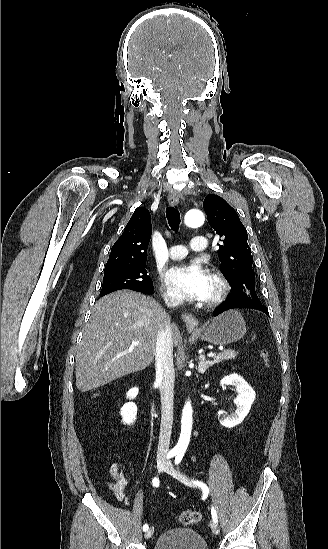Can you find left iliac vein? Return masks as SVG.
Listing matches in <instances>:
<instances>
[{"label": "left iliac vein", "mask_w": 328, "mask_h": 549, "mask_svg": "<svg viewBox=\"0 0 328 549\" xmlns=\"http://www.w3.org/2000/svg\"><path fill=\"white\" fill-rule=\"evenodd\" d=\"M163 469H164L165 472H167L168 474L174 476L178 480H181L185 484L195 487V485H193L192 482L179 469L174 468V466L172 465V463L170 461H167L165 463ZM211 528H212V531L215 535L219 534V527H218L216 522L212 523Z\"/></svg>", "instance_id": "left-iliac-vein-1"}]
</instances>
